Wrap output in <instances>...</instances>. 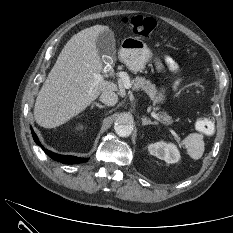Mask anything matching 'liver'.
Returning <instances> with one entry per match:
<instances>
[{
	"label": "liver",
	"mask_w": 233,
	"mask_h": 233,
	"mask_svg": "<svg viewBox=\"0 0 233 233\" xmlns=\"http://www.w3.org/2000/svg\"><path fill=\"white\" fill-rule=\"evenodd\" d=\"M108 26L95 25L75 34L64 46L36 99L34 118L54 128L82 112L105 91H116L109 81L96 83L103 69L96 39Z\"/></svg>",
	"instance_id": "1"
}]
</instances>
